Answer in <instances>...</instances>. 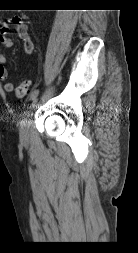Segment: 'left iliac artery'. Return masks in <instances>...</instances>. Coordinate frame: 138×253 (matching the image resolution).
I'll return each mask as SVG.
<instances>
[{"label": "left iliac artery", "instance_id": "1", "mask_svg": "<svg viewBox=\"0 0 138 253\" xmlns=\"http://www.w3.org/2000/svg\"><path fill=\"white\" fill-rule=\"evenodd\" d=\"M58 80L59 81L61 80V76H59ZM38 95H39V90L38 89L32 91V93L30 95V100H34Z\"/></svg>", "mask_w": 138, "mask_h": 253}]
</instances>
